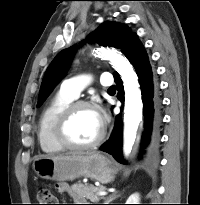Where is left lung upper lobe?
Listing matches in <instances>:
<instances>
[{"label":"left lung upper lobe","instance_id":"left-lung-upper-lobe-1","mask_svg":"<svg viewBox=\"0 0 200 205\" xmlns=\"http://www.w3.org/2000/svg\"><path fill=\"white\" fill-rule=\"evenodd\" d=\"M135 35L124 24L106 21L90 35L89 39L96 40L102 46H111L125 52L131 38ZM75 47H69L59 52L48 66L39 92L38 104L40 106L55 86L64 77L70 67Z\"/></svg>","mask_w":200,"mask_h":205}]
</instances>
